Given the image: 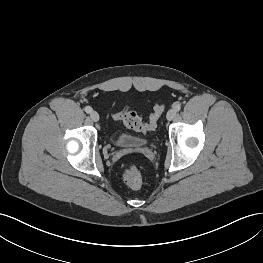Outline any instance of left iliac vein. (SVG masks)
Returning a JSON list of instances; mask_svg holds the SVG:
<instances>
[{
    "label": "left iliac vein",
    "instance_id": "obj_1",
    "mask_svg": "<svg viewBox=\"0 0 263 263\" xmlns=\"http://www.w3.org/2000/svg\"><path fill=\"white\" fill-rule=\"evenodd\" d=\"M176 116V111L175 109H170L168 112H167V120H172L174 117Z\"/></svg>",
    "mask_w": 263,
    "mask_h": 263
}]
</instances>
